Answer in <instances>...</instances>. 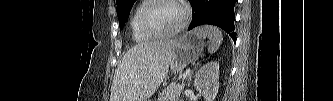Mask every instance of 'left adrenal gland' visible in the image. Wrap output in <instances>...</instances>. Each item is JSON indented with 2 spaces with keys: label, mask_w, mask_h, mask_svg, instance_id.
Here are the masks:
<instances>
[{
  "label": "left adrenal gland",
  "mask_w": 333,
  "mask_h": 101,
  "mask_svg": "<svg viewBox=\"0 0 333 101\" xmlns=\"http://www.w3.org/2000/svg\"><path fill=\"white\" fill-rule=\"evenodd\" d=\"M198 64H199V63H197V65H198ZM197 65L194 67V69L197 67ZM194 69L190 72V74H189V76H188V79H187V81H188V85H189V83H190V81H191V78H192V75H193Z\"/></svg>",
  "instance_id": "a2214340"
}]
</instances>
